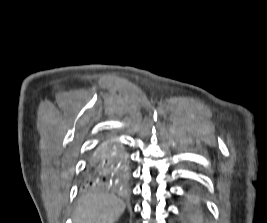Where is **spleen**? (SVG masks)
<instances>
[{"instance_id":"3e777b00","label":"spleen","mask_w":267,"mask_h":223,"mask_svg":"<svg viewBox=\"0 0 267 223\" xmlns=\"http://www.w3.org/2000/svg\"><path fill=\"white\" fill-rule=\"evenodd\" d=\"M193 222L194 223H202V217L198 214L193 217Z\"/></svg>"}]
</instances>
